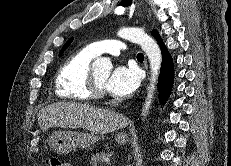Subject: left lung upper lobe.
I'll list each match as a JSON object with an SVG mask.
<instances>
[{"label": "left lung upper lobe", "mask_w": 231, "mask_h": 166, "mask_svg": "<svg viewBox=\"0 0 231 166\" xmlns=\"http://www.w3.org/2000/svg\"><path fill=\"white\" fill-rule=\"evenodd\" d=\"M152 35L155 37L156 35H158V32H157V30H153L152 31ZM72 41H73V38H70L66 43H65V45L62 47V49H61V51L59 52V56H61L62 55V53L64 52V50L72 43Z\"/></svg>", "instance_id": "5c2ea615"}]
</instances>
